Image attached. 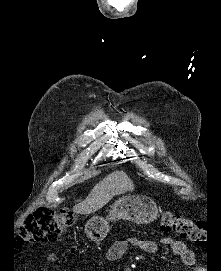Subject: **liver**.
Here are the masks:
<instances>
[{"label": "liver", "mask_w": 221, "mask_h": 271, "mask_svg": "<svg viewBox=\"0 0 221 271\" xmlns=\"http://www.w3.org/2000/svg\"><path fill=\"white\" fill-rule=\"evenodd\" d=\"M120 183L117 175H114L112 179H102L100 183H97L95 187H93L91 193L87 195L84 201L81 203H77L74 205L73 209L76 213H94V211H98L101 209L103 205H106L110 199H112L114 193L112 191V185H118ZM124 187L118 189L117 193H123Z\"/></svg>", "instance_id": "obj_1"}]
</instances>
